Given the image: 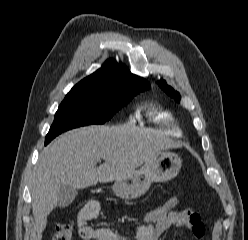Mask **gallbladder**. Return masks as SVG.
I'll list each match as a JSON object with an SVG mask.
<instances>
[{"label":"gallbladder","mask_w":248,"mask_h":240,"mask_svg":"<svg viewBox=\"0 0 248 240\" xmlns=\"http://www.w3.org/2000/svg\"><path fill=\"white\" fill-rule=\"evenodd\" d=\"M77 196V189L70 185H62L58 190V206L65 208L69 206Z\"/></svg>","instance_id":"gallbladder-1"}]
</instances>
